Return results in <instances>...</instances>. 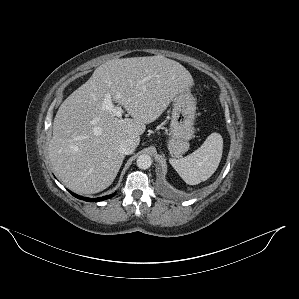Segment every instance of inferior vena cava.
I'll use <instances>...</instances> for the list:
<instances>
[{"instance_id":"obj_1","label":"inferior vena cava","mask_w":299,"mask_h":299,"mask_svg":"<svg viewBox=\"0 0 299 299\" xmlns=\"http://www.w3.org/2000/svg\"><path fill=\"white\" fill-rule=\"evenodd\" d=\"M135 148H136V144L131 139L123 140L119 144V151L124 155L132 154Z\"/></svg>"}]
</instances>
